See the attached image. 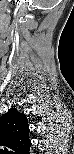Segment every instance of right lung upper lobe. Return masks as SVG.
<instances>
[{
    "label": "right lung upper lobe",
    "instance_id": "obj_1",
    "mask_svg": "<svg viewBox=\"0 0 74 154\" xmlns=\"http://www.w3.org/2000/svg\"><path fill=\"white\" fill-rule=\"evenodd\" d=\"M15 113V112H14ZM13 112H8V116H7V119H11V118H14V119H17V120H19V121H23L24 123V127H26V125L25 124H27V122H26V118H25V116L24 115H22L21 113H18L17 112V115L16 114H14Z\"/></svg>",
    "mask_w": 74,
    "mask_h": 154
}]
</instances>
